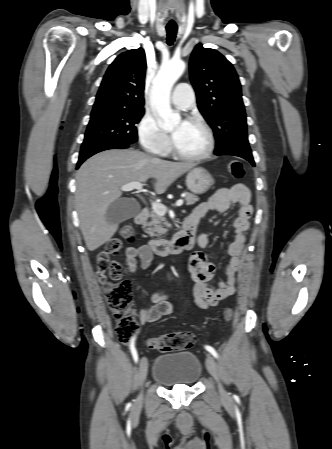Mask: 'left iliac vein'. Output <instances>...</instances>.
I'll return each mask as SVG.
<instances>
[{"label": "left iliac vein", "mask_w": 332, "mask_h": 449, "mask_svg": "<svg viewBox=\"0 0 332 449\" xmlns=\"http://www.w3.org/2000/svg\"><path fill=\"white\" fill-rule=\"evenodd\" d=\"M206 367H207V370L209 371V373L215 379V381H216V383L218 385V389H219L220 395L223 398H227V392L223 388V386L221 384V381H220V379H221L220 369L218 367L217 362L215 361V359L211 355H208L207 358H206Z\"/></svg>", "instance_id": "obj_1"}]
</instances>
